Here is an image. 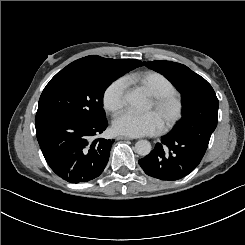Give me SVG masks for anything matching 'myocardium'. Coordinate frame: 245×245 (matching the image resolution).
I'll list each match as a JSON object with an SVG mask.
<instances>
[{
  "mask_svg": "<svg viewBox=\"0 0 245 245\" xmlns=\"http://www.w3.org/2000/svg\"><path fill=\"white\" fill-rule=\"evenodd\" d=\"M152 108L155 112H168L161 121L163 129L171 128L182 116L183 100L177 92H156L150 94Z\"/></svg>",
  "mask_w": 245,
  "mask_h": 245,
  "instance_id": "myocardium-1",
  "label": "myocardium"
}]
</instances>
